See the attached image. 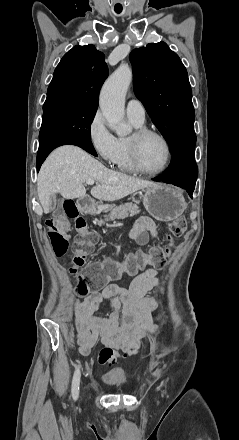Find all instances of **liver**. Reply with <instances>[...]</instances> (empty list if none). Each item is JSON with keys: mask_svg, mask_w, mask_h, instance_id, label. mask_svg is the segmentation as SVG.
<instances>
[{"mask_svg": "<svg viewBox=\"0 0 239 440\" xmlns=\"http://www.w3.org/2000/svg\"><path fill=\"white\" fill-rule=\"evenodd\" d=\"M87 180L97 182L91 190V196L105 202H115L138 190L160 186L108 170L81 148L61 146L48 156L37 178L38 198L45 214L49 212L50 196L57 192L66 200L85 198L86 190L82 184Z\"/></svg>", "mask_w": 239, "mask_h": 440, "instance_id": "6515ba94", "label": "liver"}]
</instances>
